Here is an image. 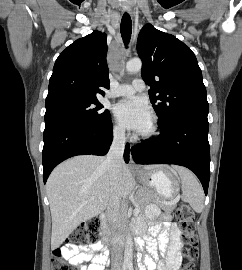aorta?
<instances>
[{
  "mask_svg": "<svg viewBox=\"0 0 242 270\" xmlns=\"http://www.w3.org/2000/svg\"><path fill=\"white\" fill-rule=\"evenodd\" d=\"M142 68V61L140 59H132L127 62L126 64V70L128 73H136L139 72ZM133 241L130 234L126 237V244H125V257L127 259L132 258L133 253Z\"/></svg>",
  "mask_w": 242,
  "mask_h": 270,
  "instance_id": "aorta-1",
  "label": "aorta"
}]
</instances>
